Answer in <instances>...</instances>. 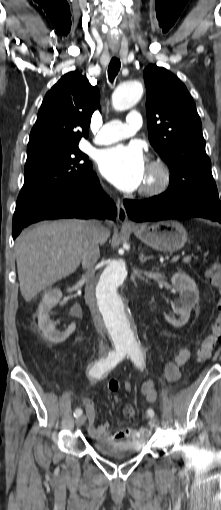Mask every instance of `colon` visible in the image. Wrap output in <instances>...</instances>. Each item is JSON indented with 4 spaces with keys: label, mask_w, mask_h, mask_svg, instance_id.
Segmentation results:
<instances>
[{
    "label": "colon",
    "mask_w": 221,
    "mask_h": 510,
    "mask_svg": "<svg viewBox=\"0 0 221 510\" xmlns=\"http://www.w3.org/2000/svg\"><path fill=\"white\" fill-rule=\"evenodd\" d=\"M209 279L213 285L221 289V272H212L209 275ZM221 341V317L216 321L213 326V330L210 334H208L201 342L197 349L196 353V362L198 364H202L209 359L212 352L216 348L218 342ZM120 384L117 380H110L108 383V390L111 393H117L119 390ZM115 401L118 402L119 398L116 397ZM124 414L128 415L131 411L129 409H124Z\"/></svg>",
    "instance_id": "obj_1"
}]
</instances>
